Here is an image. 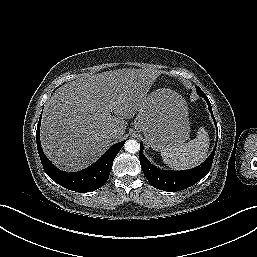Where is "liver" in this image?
I'll return each instance as SVG.
<instances>
[{
    "label": "liver",
    "instance_id": "1",
    "mask_svg": "<svg viewBox=\"0 0 257 257\" xmlns=\"http://www.w3.org/2000/svg\"><path fill=\"white\" fill-rule=\"evenodd\" d=\"M154 70L118 69L86 75L59 87L46 102L41 145L52 163L78 171L120 140L157 78ZM116 131L109 139L106 132Z\"/></svg>",
    "mask_w": 257,
    "mask_h": 257
}]
</instances>
